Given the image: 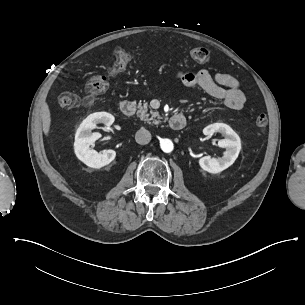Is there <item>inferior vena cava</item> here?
<instances>
[{
  "label": "inferior vena cava",
  "instance_id": "1",
  "mask_svg": "<svg viewBox=\"0 0 305 305\" xmlns=\"http://www.w3.org/2000/svg\"><path fill=\"white\" fill-rule=\"evenodd\" d=\"M135 140L138 144L145 145L151 140V134L146 129H140L135 134Z\"/></svg>",
  "mask_w": 305,
  "mask_h": 305
}]
</instances>
